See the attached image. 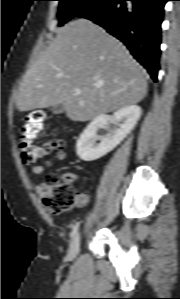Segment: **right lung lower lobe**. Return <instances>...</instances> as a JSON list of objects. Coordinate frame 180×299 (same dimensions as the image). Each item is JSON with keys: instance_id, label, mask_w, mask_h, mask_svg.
<instances>
[{"instance_id": "right-lung-lower-lobe-1", "label": "right lung lower lobe", "mask_w": 180, "mask_h": 299, "mask_svg": "<svg viewBox=\"0 0 180 299\" xmlns=\"http://www.w3.org/2000/svg\"><path fill=\"white\" fill-rule=\"evenodd\" d=\"M166 1L103 0L78 17L93 21L121 40L157 81Z\"/></svg>"}]
</instances>
